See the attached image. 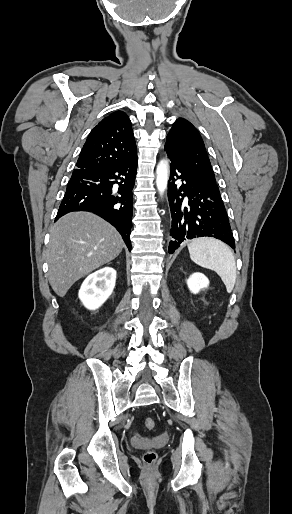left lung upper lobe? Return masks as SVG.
Returning a JSON list of instances; mask_svg holds the SVG:
<instances>
[{"mask_svg":"<svg viewBox=\"0 0 292 514\" xmlns=\"http://www.w3.org/2000/svg\"><path fill=\"white\" fill-rule=\"evenodd\" d=\"M165 149L194 175L216 184L215 175L199 131L184 118H178L166 137Z\"/></svg>","mask_w":292,"mask_h":514,"instance_id":"1","label":"left lung upper lobe"}]
</instances>
